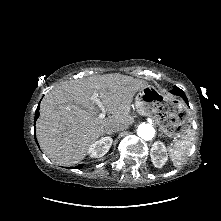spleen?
Listing matches in <instances>:
<instances>
[{
  "instance_id": "1",
  "label": "spleen",
  "mask_w": 221,
  "mask_h": 221,
  "mask_svg": "<svg viewBox=\"0 0 221 221\" xmlns=\"http://www.w3.org/2000/svg\"><path fill=\"white\" fill-rule=\"evenodd\" d=\"M192 135L193 132L190 130L182 140L177 141L168 148L169 156L174 166L181 165L188 157L193 145Z\"/></svg>"
}]
</instances>
